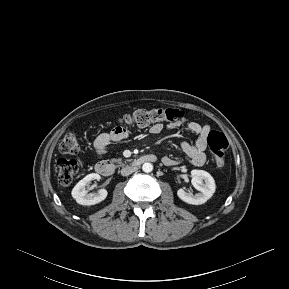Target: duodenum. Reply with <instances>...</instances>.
Returning <instances> with one entry per match:
<instances>
[{"label":"duodenum","mask_w":289,"mask_h":289,"mask_svg":"<svg viewBox=\"0 0 289 289\" xmlns=\"http://www.w3.org/2000/svg\"><path fill=\"white\" fill-rule=\"evenodd\" d=\"M156 156L152 154L142 155L138 158L134 159L130 165L132 166H140L144 163L155 162ZM116 166L114 163L108 160H100L95 164V171L103 176H111L114 174Z\"/></svg>","instance_id":"duodenum-1"}]
</instances>
